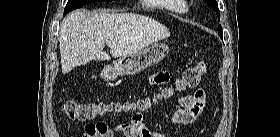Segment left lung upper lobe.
Segmentation results:
<instances>
[{
	"instance_id": "left-lung-upper-lobe-1",
	"label": "left lung upper lobe",
	"mask_w": 280,
	"mask_h": 137,
	"mask_svg": "<svg viewBox=\"0 0 280 137\" xmlns=\"http://www.w3.org/2000/svg\"><path fill=\"white\" fill-rule=\"evenodd\" d=\"M204 1L207 3L209 7H211L216 12V14L218 15V19H220V11L218 9V3L216 2V0H204ZM218 34L221 37V39H223V30L221 26L218 27Z\"/></svg>"
}]
</instances>
